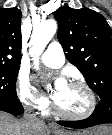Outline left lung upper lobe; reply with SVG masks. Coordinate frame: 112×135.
<instances>
[{
	"label": "left lung upper lobe",
	"instance_id": "obj_1",
	"mask_svg": "<svg viewBox=\"0 0 112 135\" xmlns=\"http://www.w3.org/2000/svg\"><path fill=\"white\" fill-rule=\"evenodd\" d=\"M58 40L67 60L83 74L100 99L112 97V31L101 14L67 5L54 13Z\"/></svg>",
	"mask_w": 112,
	"mask_h": 135
}]
</instances>
